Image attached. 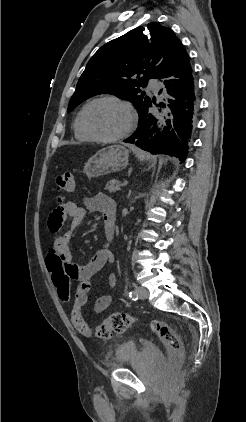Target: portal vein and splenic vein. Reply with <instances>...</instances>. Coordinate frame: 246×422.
I'll return each instance as SVG.
<instances>
[{
	"label": "portal vein and splenic vein",
	"instance_id": "portal-vein-and-splenic-vein-1",
	"mask_svg": "<svg viewBox=\"0 0 246 422\" xmlns=\"http://www.w3.org/2000/svg\"><path fill=\"white\" fill-rule=\"evenodd\" d=\"M128 184V181L127 180H125L122 184H120L118 187H120V186H126ZM117 189V188H116ZM120 189V188H119Z\"/></svg>",
	"mask_w": 246,
	"mask_h": 422
}]
</instances>
